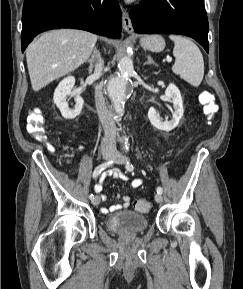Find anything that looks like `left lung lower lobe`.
I'll return each mask as SVG.
<instances>
[{
	"mask_svg": "<svg viewBox=\"0 0 243 289\" xmlns=\"http://www.w3.org/2000/svg\"><path fill=\"white\" fill-rule=\"evenodd\" d=\"M130 17L136 33L186 35L209 52L204 0H143Z\"/></svg>",
	"mask_w": 243,
	"mask_h": 289,
	"instance_id": "1",
	"label": "left lung lower lobe"
}]
</instances>
